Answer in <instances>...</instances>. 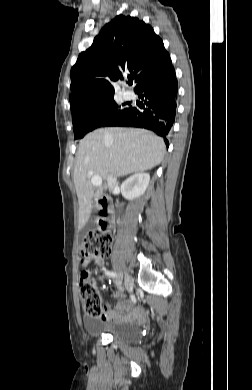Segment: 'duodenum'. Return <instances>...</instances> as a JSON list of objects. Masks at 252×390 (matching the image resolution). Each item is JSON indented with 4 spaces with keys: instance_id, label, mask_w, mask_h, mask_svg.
Masks as SVG:
<instances>
[{
    "instance_id": "duodenum-1",
    "label": "duodenum",
    "mask_w": 252,
    "mask_h": 390,
    "mask_svg": "<svg viewBox=\"0 0 252 390\" xmlns=\"http://www.w3.org/2000/svg\"><path fill=\"white\" fill-rule=\"evenodd\" d=\"M98 204L100 206V217L102 220L99 222L100 231L109 230L115 223V218L113 215V209L109 199L102 195L98 197Z\"/></svg>"
}]
</instances>
